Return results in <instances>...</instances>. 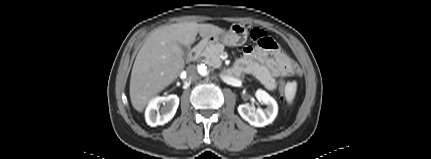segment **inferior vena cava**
I'll list each match as a JSON object with an SVG mask.
<instances>
[{"mask_svg":"<svg viewBox=\"0 0 431 159\" xmlns=\"http://www.w3.org/2000/svg\"><path fill=\"white\" fill-rule=\"evenodd\" d=\"M187 74H188L189 79H191V80H197L199 78L197 69L194 65H190L187 68Z\"/></svg>","mask_w":431,"mask_h":159,"instance_id":"1","label":"inferior vena cava"}]
</instances>
